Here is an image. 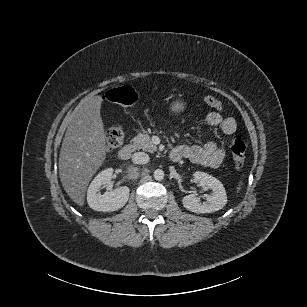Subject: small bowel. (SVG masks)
I'll return each instance as SVG.
<instances>
[{"label":"small bowel","mask_w":307,"mask_h":307,"mask_svg":"<svg viewBox=\"0 0 307 307\" xmlns=\"http://www.w3.org/2000/svg\"><path fill=\"white\" fill-rule=\"evenodd\" d=\"M206 122L210 127L220 128L227 135L233 134L237 128L234 118L223 117L216 111L207 114ZM170 157L175 162L187 159L204 167L217 168L225 158V151L214 141H208L204 145H180L171 151Z\"/></svg>","instance_id":"1"}]
</instances>
